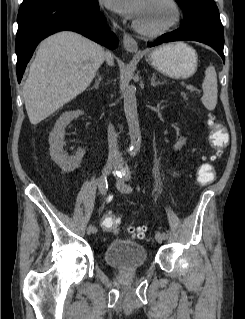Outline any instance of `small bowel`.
<instances>
[{
    "label": "small bowel",
    "mask_w": 245,
    "mask_h": 319,
    "mask_svg": "<svg viewBox=\"0 0 245 319\" xmlns=\"http://www.w3.org/2000/svg\"><path fill=\"white\" fill-rule=\"evenodd\" d=\"M176 173L174 172V173H172V175H175Z\"/></svg>",
    "instance_id": "c3829d8e"
}]
</instances>
